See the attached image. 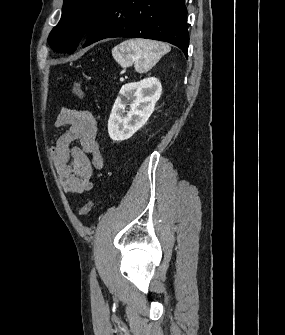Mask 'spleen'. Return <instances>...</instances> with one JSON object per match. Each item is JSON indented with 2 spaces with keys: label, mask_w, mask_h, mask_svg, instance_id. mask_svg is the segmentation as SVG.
I'll return each mask as SVG.
<instances>
[{
  "label": "spleen",
  "mask_w": 285,
  "mask_h": 335,
  "mask_svg": "<svg viewBox=\"0 0 285 335\" xmlns=\"http://www.w3.org/2000/svg\"><path fill=\"white\" fill-rule=\"evenodd\" d=\"M168 52H170V48L167 44L155 42V40L134 38V40H126L119 46H115L112 50V56L121 68H128V66L135 64L137 72H147Z\"/></svg>",
  "instance_id": "3e777b00"
}]
</instances>
